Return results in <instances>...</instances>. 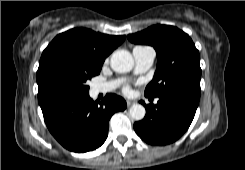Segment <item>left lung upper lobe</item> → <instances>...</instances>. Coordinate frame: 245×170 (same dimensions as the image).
<instances>
[{"label":"left lung upper lobe","mask_w":245,"mask_h":170,"mask_svg":"<svg viewBox=\"0 0 245 170\" xmlns=\"http://www.w3.org/2000/svg\"><path fill=\"white\" fill-rule=\"evenodd\" d=\"M135 44H148L157 53V69L145 96L183 93L200 98L199 52L188 34L174 26L154 25L128 35Z\"/></svg>","instance_id":"left-lung-upper-lobe-1"}]
</instances>
